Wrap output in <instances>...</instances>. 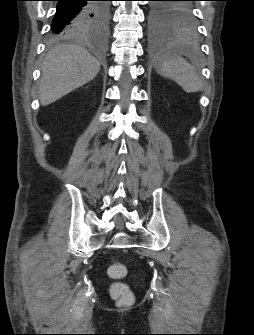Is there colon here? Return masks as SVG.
Instances as JSON below:
<instances>
[{
    "instance_id": "obj_1",
    "label": "colon",
    "mask_w": 254,
    "mask_h": 335,
    "mask_svg": "<svg viewBox=\"0 0 254 335\" xmlns=\"http://www.w3.org/2000/svg\"><path fill=\"white\" fill-rule=\"evenodd\" d=\"M108 275L114 279L115 282L110 286V294L122 304H128L132 301L133 296L128 287L121 282L126 276L127 269L124 264L120 262L111 263L108 267Z\"/></svg>"
}]
</instances>
